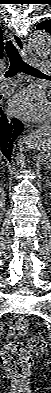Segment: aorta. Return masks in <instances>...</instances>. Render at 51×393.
Masks as SVG:
<instances>
[{
  "label": "aorta",
  "mask_w": 51,
  "mask_h": 393,
  "mask_svg": "<svg viewBox=\"0 0 51 393\" xmlns=\"http://www.w3.org/2000/svg\"><path fill=\"white\" fill-rule=\"evenodd\" d=\"M28 42L32 46L35 54L40 57H46L51 52V37L44 31H36L30 34ZM51 141V130L50 128H42L31 134L24 142L22 147L17 153V163L21 167H25V155L24 152L28 148L32 147H43Z\"/></svg>",
  "instance_id": "obj_1"
}]
</instances>
